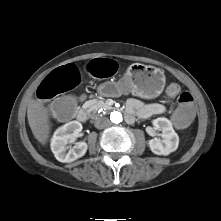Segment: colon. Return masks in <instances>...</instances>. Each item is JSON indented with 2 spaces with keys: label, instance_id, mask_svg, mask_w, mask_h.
Segmentation results:
<instances>
[{
  "label": "colon",
  "instance_id": "colon-1",
  "mask_svg": "<svg viewBox=\"0 0 221 221\" xmlns=\"http://www.w3.org/2000/svg\"><path fill=\"white\" fill-rule=\"evenodd\" d=\"M116 70V63L110 59H99L89 65V71L96 77H108ZM80 82V73L75 66L68 65L54 70L40 84L37 96L41 100H49L63 93H66ZM167 94L171 97L178 96V108L173 115L174 123L181 128L189 125L195 118L192 96L187 92H181L177 83L167 87ZM79 102L75 96L64 95L54 100L51 110L52 118L55 121H66L70 114L78 110Z\"/></svg>",
  "mask_w": 221,
  "mask_h": 221
}]
</instances>
